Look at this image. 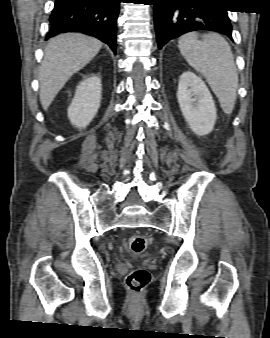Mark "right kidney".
Listing matches in <instances>:
<instances>
[{"mask_svg": "<svg viewBox=\"0 0 270 338\" xmlns=\"http://www.w3.org/2000/svg\"><path fill=\"white\" fill-rule=\"evenodd\" d=\"M101 90V79L97 76H91L80 82L68 107V118L72 125L79 129L89 125L100 107Z\"/></svg>", "mask_w": 270, "mask_h": 338, "instance_id": "ca27d5eb", "label": "right kidney"}]
</instances>
